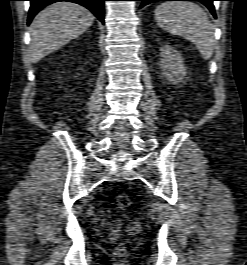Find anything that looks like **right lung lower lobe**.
I'll use <instances>...</instances> for the list:
<instances>
[{"label":"right lung lower lobe","instance_id":"1","mask_svg":"<svg viewBox=\"0 0 247 265\" xmlns=\"http://www.w3.org/2000/svg\"><path fill=\"white\" fill-rule=\"evenodd\" d=\"M31 2L28 24L33 17L45 6L59 1H68L80 4L88 8L104 24V1L106 0H29Z\"/></svg>","mask_w":247,"mask_h":265}]
</instances>
